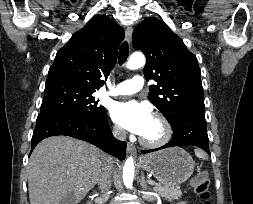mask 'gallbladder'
<instances>
[{
  "label": "gallbladder",
  "mask_w": 253,
  "mask_h": 204,
  "mask_svg": "<svg viewBox=\"0 0 253 204\" xmlns=\"http://www.w3.org/2000/svg\"><path fill=\"white\" fill-rule=\"evenodd\" d=\"M74 201L75 200H74L73 195H67L66 197H64L61 204H75Z\"/></svg>",
  "instance_id": "1"
}]
</instances>
